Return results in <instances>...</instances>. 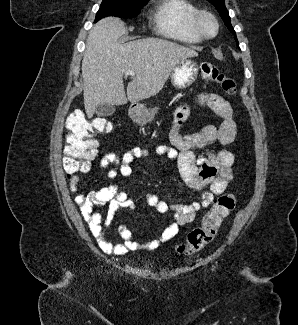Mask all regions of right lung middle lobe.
Listing matches in <instances>:
<instances>
[{
  "label": "right lung middle lobe",
  "instance_id": "right-lung-middle-lobe-1",
  "mask_svg": "<svg viewBox=\"0 0 298 325\" xmlns=\"http://www.w3.org/2000/svg\"><path fill=\"white\" fill-rule=\"evenodd\" d=\"M145 4L144 2L131 0H103L96 14L95 22L107 16L133 18L140 13L141 8Z\"/></svg>",
  "mask_w": 298,
  "mask_h": 325
}]
</instances>
